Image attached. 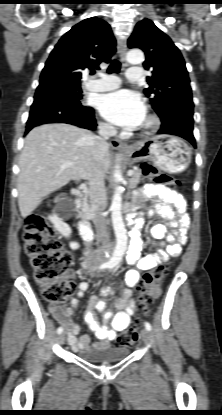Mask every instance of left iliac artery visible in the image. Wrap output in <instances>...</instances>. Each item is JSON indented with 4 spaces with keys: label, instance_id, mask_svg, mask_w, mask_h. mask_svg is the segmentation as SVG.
I'll return each instance as SVG.
<instances>
[{
    "label": "left iliac artery",
    "instance_id": "obj_1",
    "mask_svg": "<svg viewBox=\"0 0 222 415\" xmlns=\"http://www.w3.org/2000/svg\"><path fill=\"white\" fill-rule=\"evenodd\" d=\"M109 268H112V267H109ZM145 328L150 331L152 328L151 324L149 322H145Z\"/></svg>",
    "mask_w": 222,
    "mask_h": 415
}]
</instances>
